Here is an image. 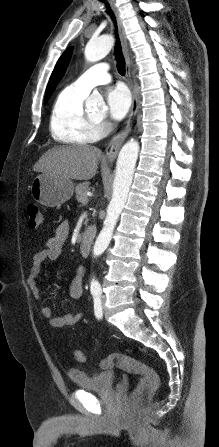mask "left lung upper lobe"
Returning a JSON list of instances; mask_svg holds the SVG:
<instances>
[{"instance_id": "5c2ea615", "label": "left lung upper lobe", "mask_w": 219, "mask_h": 447, "mask_svg": "<svg viewBox=\"0 0 219 447\" xmlns=\"http://www.w3.org/2000/svg\"><path fill=\"white\" fill-rule=\"evenodd\" d=\"M72 53V48H68L63 54L62 56L59 58L53 72L52 75L50 77L49 83L47 85L46 88V95H45V103L47 102V100L50 98L52 92L54 91L56 85L59 83V81L61 80L66 67L69 63V59Z\"/></svg>"}]
</instances>
